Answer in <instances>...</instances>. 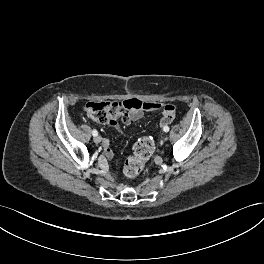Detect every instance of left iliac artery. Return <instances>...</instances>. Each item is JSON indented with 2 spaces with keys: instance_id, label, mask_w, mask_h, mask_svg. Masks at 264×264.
<instances>
[{
  "instance_id": "44dca946",
  "label": "left iliac artery",
  "mask_w": 264,
  "mask_h": 264,
  "mask_svg": "<svg viewBox=\"0 0 264 264\" xmlns=\"http://www.w3.org/2000/svg\"><path fill=\"white\" fill-rule=\"evenodd\" d=\"M163 131L164 132H168L169 131V127L168 126H164Z\"/></svg>"
}]
</instances>
